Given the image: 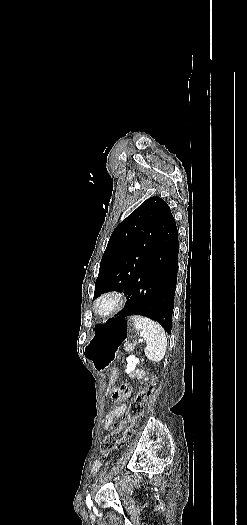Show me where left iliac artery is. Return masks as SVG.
<instances>
[{
	"mask_svg": "<svg viewBox=\"0 0 247 525\" xmlns=\"http://www.w3.org/2000/svg\"><path fill=\"white\" fill-rule=\"evenodd\" d=\"M86 504L88 508H91L93 505L90 494H88V496L86 497Z\"/></svg>",
	"mask_w": 247,
	"mask_h": 525,
	"instance_id": "44dca946",
	"label": "left iliac artery"
}]
</instances>
